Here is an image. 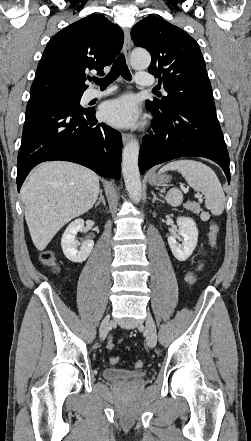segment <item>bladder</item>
<instances>
[{"label":"bladder","instance_id":"31cf9c89","mask_svg":"<svg viewBox=\"0 0 251 441\" xmlns=\"http://www.w3.org/2000/svg\"><path fill=\"white\" fill-rule=\"evenodd\" d=\"M102 375L109 381H129L139 380L146 376L145 371H133L124 368L107 367L103 369Z\"/></svg>","mask_w":251,"mask_h":441}]
</instances>
